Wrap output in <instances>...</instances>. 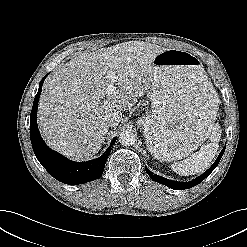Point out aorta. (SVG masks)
I'll return each mask as SVG.
<instances>
[{
  "label": "aorta",
  "instance_id": "aorta-1",
  "mask_svg": "<svg viewBox=\"0 0 247 247\" xmlns=\"http://www.w3.org/2000/svg\"><path fill=\"white\" fill-rule=\"evenodd\" d=\"M136 141V136L131 130H123L119 134V142L123 146H130L133 145Z\"/></svg>",
  "mask_w": 247,
  "mask_h": 247
}]
</instances>
